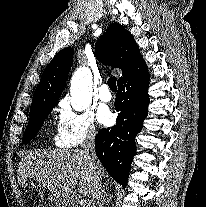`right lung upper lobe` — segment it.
<instances>
[{
	"mask_svg": "<svg viewBox=\"0 0 206 207\" xmlns=\"http://www.w3.org/2000/svg\"><path fill=\"white\" fill-rule=\"evenodd\" d=\"M95 55L100 62L122 70L118 81L143 61L133 36L119 23H112L98 40ZM72 58V48H65L55 55L35 90L30 112L43 105L58 103L72 65Z\"/></svg>",
	"mask_w": 206,
	"mask_h": 207,
	"instance_id": "right-lung-upper-lobe-1",
	"label": "right lung upper lobe"
}]
</instances>
